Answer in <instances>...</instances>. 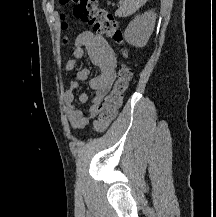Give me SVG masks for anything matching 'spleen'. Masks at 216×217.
Here are the masks:
<instances>
[{
    "label": "spleen",
    "mask_w": 216,
    "mask_h": 217,
    "mask_svg": "<svg viewBox=\"0 0 216 217\" xmlns=\"http://www.w3.org/2000/svg\"><path fill=\"white\" fill-rule=\"evenodd\" d=\"M148 0H121V6L116 11L118 17H127L134 14Z\"/></svg>",
    "instance_id": "1"
}]
</instances>
